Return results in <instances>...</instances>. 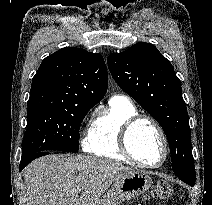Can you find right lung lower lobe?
I'll list each match as a JSON object with an SVG mask.
<instances>
[{
	"label": "right lung lower lobe",
	"mask_w": 212,
	"mask_h": 205,
	"mask_svg": "<svg viewBox=\"0 0 212 205\" xmlns=\"http://www.w3.org/2000/svg\"><path fill=\"white\" fill-rule=\"evenodd\" d=\"M51 152L52 151L37 152V153L29 155L28 157L22 158L21 162H20V166H19L20 171L23 170L32 160H34L40 156L47 155Z\"/></svg>",
	"instance_id": "98d812e1"
}]
</instances>
